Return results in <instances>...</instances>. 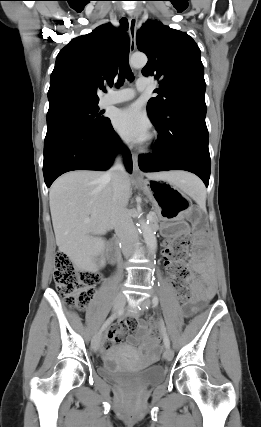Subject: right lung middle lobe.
I'll list each match as a JSON object with an SVG mask.
<instances>
[{"label":"right lung middle lobe","mask_w":261,"mask_h":427,"mask_svg":"<svg viewBox=\"0 0 261 427\" xmlns=\"http://www.w3.org/2000/svg\"><path fill=\"white\" fill-rule=\"evenodd\" d=\"M96 105L71 104L49 109L47 113V126L74 122L87 127H100L109 123L108 118L100 116Z\"/></svg>","instance_id":"dd1d6c3e"}]
</instances>
